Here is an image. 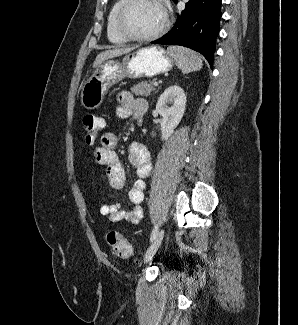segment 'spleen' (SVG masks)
<instances>
[{
  "instance_id": "1",
  "label": "spleen",
  "mask_w": 298,
  "mask_h": 325,
  "mask_svg": "<svg viewBox=\"0 0 298 325\" xmlns=\"http://www.w3.org/2000/svg\"><path fill=\"white\" fill-rule=\"evenodd\" d=\"M167 52L176 60V66L181 68L182 72H193V70H200L203 66L202 56H199L195 50L185 48V46H167Z\"/></svg>"
}]
</instances>
